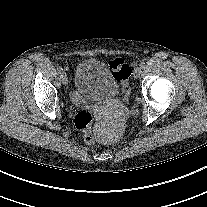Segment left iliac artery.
<instances>
[{
  "label": "left iliac artery",
  "instance_id": "obj_1",
  "mask_svg": "<svg viewBox=\"0 0 207 207\" xmlns=\"http://www.w3.org/2000/svg\"><path fill=\"white\" fill-rule=\"evenodd\" d=\"M139 66H140L141 68H144V67H145V63H144V62H141Z\"/></svg>",
  "mask_w": 207,
  "mask_h": 207
}]
</instances>
